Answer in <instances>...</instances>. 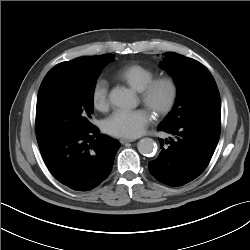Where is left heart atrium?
<instances>
[{"label":"left heart atrium","mask_w":250,"mask_h":250,"mask_svg":"<svg viewBox=\"0 0 250 250\" xmlns=\"http://www.w3.org/2000/svg\"><path fill=\"white\" fill-rule=\"evenodd\" d=\"M151 121L148 109L116 110L105 121L106 131L116 137L134 139L141 136Z\"/></svg>","instance_id":"1"}]
</instances>
